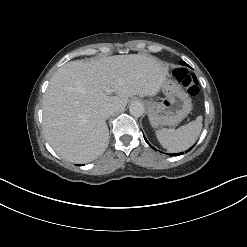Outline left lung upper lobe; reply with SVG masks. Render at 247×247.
<instances>
[{
  "instance_id": "obj_1",
  "label": "left lung upper lobe",
  "mask_w": 247,
  "mask_h": 247,
  "mask_svg": "<svg viewBox=\"0 0 247 247\" xmlns=\"http://www.w3.org/2000/svg\"><path fill=\"white\" fill-rule=\"evenodd\" d=\"M182 65L189 66L186 62H181Z\"/></svg>"
}]
</instances>
